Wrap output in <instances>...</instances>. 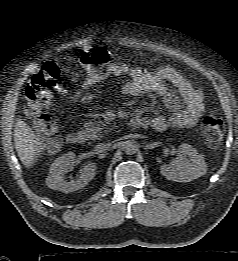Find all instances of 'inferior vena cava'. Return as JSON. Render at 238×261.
I'll return each mask as SVG.
<instances>
[{"instance_id":"1","label":"inferior vena cava","mask_w":238,"mask_h":261,"mask_svg":"<svg viewBox=\"0 0 238 261\" xmlns=\"http://www.w3.org/2000/svg\"><path fill=\"white\" fill-rule=\"evenodd\" d=\"M110 147L109 143H100L95 147L96 152L106 151Z\"/></svg>"}]
</instances>
